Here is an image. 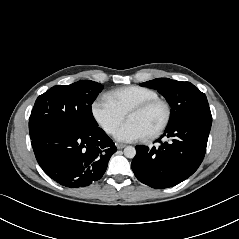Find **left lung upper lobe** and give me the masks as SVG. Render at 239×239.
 <instances>
[{
    "label": "left lung upper lobe",
    "mask_w": 239,
    "mask_h": 239,
    "mask_svg": "<svg viewBox=\"0 0 239 239\" xmlns=\"http://www.w3.org/2000/svg\"><path fill=\"white\" fill-rule=\"evenodd\" d=\"M140 85L156 89L166 98L171 106L168 125L190 117H211L205 94L190 82L158 78Z\"/></svg>",
    "instance_id": "5c2ea615"
}]
</instances>
